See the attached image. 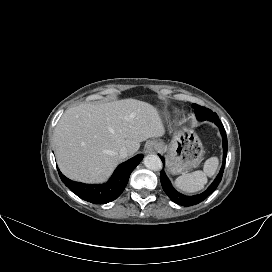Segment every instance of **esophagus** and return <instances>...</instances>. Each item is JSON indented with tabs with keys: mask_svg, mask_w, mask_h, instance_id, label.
<instances>
[{
	"mask_svg": "<svg viewBox=\"0 0 272 272\" xmlns=\"http://www.w3.org/2000/svg\"><path fill=\"white\" fill-rule=\"evenodd\" d=\"M157 149V144L153 141L147 143L145 145V152L146 153H154Z\"/></svg>",
	"mask_w": 272,
	"mask_h": 272,
	"instance_id": "obj_1",
	"label": "esophagus"
}]
</instances>
